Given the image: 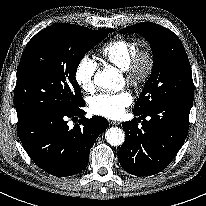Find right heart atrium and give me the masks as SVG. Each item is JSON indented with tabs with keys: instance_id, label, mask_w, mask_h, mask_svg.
I'll use <instances>...</instances> for the list:
<instances>
[{
	"instance_id": "d8ad5b80",
	"label": "right heart atrium",
	"mask_w": 206,
	"mask_h": 206,
	"mask_svg": "<svg viewBox=\"0 0 206 206\" xmlns=\"http://www.w3.org/2000/svg\"><path fill=\"white\" fill-rule=\"evenodd\" d=\"M97 63L89 56L82 57L76 65L74 77L79 88L90 93L95 89V73Z\"/></svg>"
}]
</instances>
